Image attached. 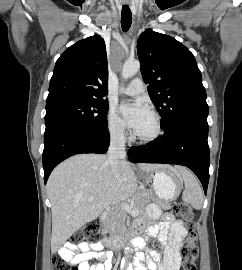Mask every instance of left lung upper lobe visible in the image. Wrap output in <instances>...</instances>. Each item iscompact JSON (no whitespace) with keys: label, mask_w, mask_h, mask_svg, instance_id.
Here are the masks:
<instances>
[{"label":"left lung upper lobe","mask_w":242,"mask_h":270,"mask_svg":"<svg viewBox=\"0 0 242 270\" xmlns=\"http://www.w3.org/2000/svg\"><path fill=\"white\" fill-rule=\"evenodd\" d=\"M144 82L167 130L187 118H207L206 90L193 54L174 38L145 30L137 42Z\"/></svg>","instance_id":"left-lung-upper-lobe-1"}]
</instances>
